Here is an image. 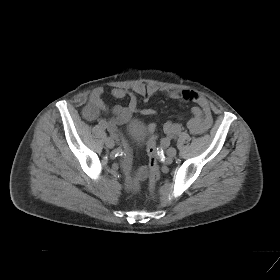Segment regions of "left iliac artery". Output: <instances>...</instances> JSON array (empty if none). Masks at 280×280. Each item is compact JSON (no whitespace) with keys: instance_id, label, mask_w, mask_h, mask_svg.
Masks as SVG:
<instances>
[{"instance_id":"44dca946","label":"left iliac artery","mask_w":280,"mask_h":280,"mask_svg":"<svg viewBox=\"0 0 280 280\" xmlns=\"http://www.w3.org/2000/svg\"><path fill=\"white\" fill-rule=\"evenodd\" d=\"M182 131V126L175 123L171 126V136H178Z\"/></svg>"}]
</instances>
